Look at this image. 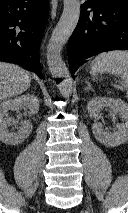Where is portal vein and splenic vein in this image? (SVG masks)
I'll use <instances>...</instances> for the list:
<instances>
[{"instance_id": "obj_1", "label": "portal vein and splenic vein", "mask_w": 128, "mask_h": 213, "mask_svg": "<svg viewBox=\"0 0 128 213\" xmlns=\"http://www.w3.org/2000/svg\"><path fill=\"white\" fill-rule=\"evenodd\" d=\"M121 89H122V90L128 89V86L125 85V86L121 87Z\"/></svg>"}]
</instances>
